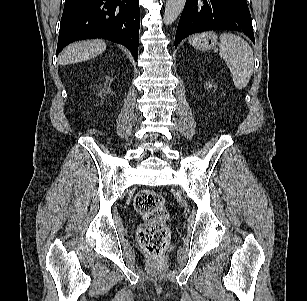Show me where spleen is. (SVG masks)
<instances>
[{
  "instance_id": "3e777b00",
  "label": "spleen",
  "mask_w": 307,
  "mask_h": 301,
  "mask_svg": "<svg viewBox=\"0 0 307 301\" xmlns=\"http://www.w3.org/2000/svg\"><path fill=\"white\" fill-rule=\"evenodd\" d=\"M219 47L220 56L230 69L235 87L243 89L253 73L254 57L250 45L238 35L223 33Z\"/></svg>"
}]
</instances>
